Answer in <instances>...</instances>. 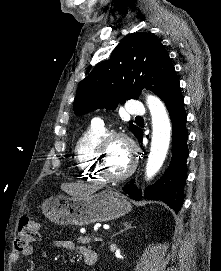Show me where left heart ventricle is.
Here are the masks:
<instances>
[{
  "label": "left heart ventricle",
  "instance_id": "obj_1",
  "mask_svg": "<svg viewBox=\"0 0 221 271\" xmlns=\"http://www.w3.org/2000/svg\"><path fill=\"white\" fill-rule=\"evenodd\" d=\"M129 141L126 138H121L119 141H108L106 149H109L105 156H100L101 164H105L107 175H122L124 168H128L129 164H133V159H126L129 152L122 149V144Z\"/></svg>",
  "mask_w": 221,
  "mask_h": 271
}]
</instances>
